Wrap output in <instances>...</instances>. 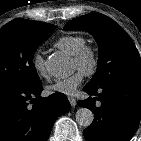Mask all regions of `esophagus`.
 <instances>
[{
	"label": "esophagus",
	"instance_id": "34e87169",
	"mask_svg": "<svg viewBox=\"0 0 141 141\" xmlns=\"http://www.w3.org/2000/svg\"><path fill=\"white\" fill-rule=\"evenodd\" d=\"M68 100H69L70 105H71L72 107H75V106H76V100H75L74 98L68 97Z\"/></svg>",
	"mask_w": 141,
	"mask_h": 141
}]
</instances>
